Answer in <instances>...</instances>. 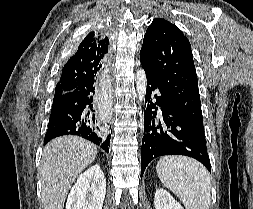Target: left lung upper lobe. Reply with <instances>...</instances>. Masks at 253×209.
Returning a JSON list of instances; mask_svg holds the SVG:
<instances>
[{"mask_svg": "<svg viewBox=\"0 0 253 209\" xmlns=\"http://www.w3.org/2000/svg\"><path fill=\"white\" fill-rule=\"evenodd\" d=\"M140 61L167 89L179 111L204 129L191 45L183 33L165 19H154L144 36Z\"/></svg>", "mask_w": 253, "mask_h": 209, "instance_id": "obj_1", "label": "left lung upper lobe"}]
</instances>
